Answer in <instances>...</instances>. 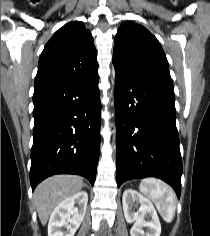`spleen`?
<instances>
[{
	"mask_svg": "<svg viewBox=\"0 0 210 236\" xmlns=\"http://www.w3.org/2000/svg\"><path fill=\"white\" fill-rule=\"evenodd\" d=\"M139 190L156 205L164 221L170 223L173 220L176 196L166 183L156 178H145L141 181Z\"/></svg>",
	"mask_w": 210,
	"mask_h": 236,
	"instance_id": "obj_1",
	"label": "spleen"
}]
</instances>
